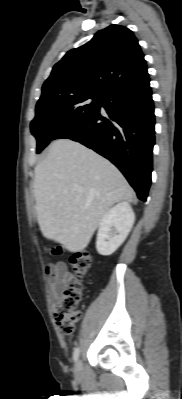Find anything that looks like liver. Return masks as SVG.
I'll return each mask as SVG.
<instances>
[{
    "label": "liver",
    "instance_id": "obj_1",
    "mask_svg": "<svg viewBox=\"0 0 182 399\" xmlns=\"http://www.w3.org/2000/svg\"><path fill=\"white\" fill-rule=\"evenodd\" d=\"M34 197L43 236L81 252L106 212L115 203L131 201L134 191L107 159L78 142L59 139L35 167Z\"/></svg>",
    "mask_w": 182,
    "mask_h": 399
}]
</instances>
